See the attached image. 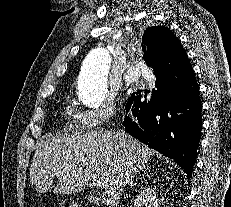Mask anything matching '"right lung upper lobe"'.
<instances>
[{
	"instance_id": "obj_1",
	"label": "right lung upper lobe",
	"mask_w": 231,
	"mask_h": 207,
	"mask_svg": "<svg viewBox=\"0 0 231 207\" xmlns=\"http://www.w3.org/2000/svg\"><path fill=\"white\" fill-rule=\"evenodd\" d=\"M144 60L156 72L165 69L183 68L190 64L180 40L167 27L155 26L149 37L142 39Z\"/></svg>"
}]
</instances>
